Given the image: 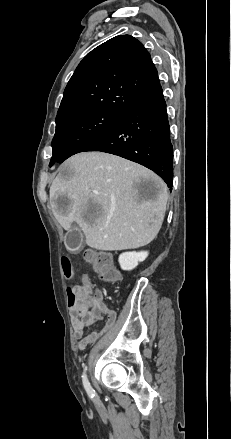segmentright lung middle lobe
<instances>
[{
	"label": "right lung middle lobe",
	"mask_w": 231,
	"mask_h": 439,
	"mask_svg": "<svg viewBox=\"0 0 231 439\" xmlns=\"http://www.w3.org/2000/svg\"><path fill=\"white\" fill-rule=\"evenodd\" d=\"M123 114L93 109L56 118V132L52 141L53 156L49 166L62 163L68 157L83 152L99 139Z\"/></svg>",
	"instance_id": "right-lung-middle-lobe-1"
}]
</instances>
